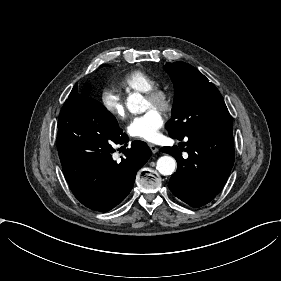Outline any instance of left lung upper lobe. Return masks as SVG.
I'll return each instance as SVG.
<instances>
[{
  "instance_id": "obj_1",
  "label": "left lung upper lobe",
  "mask_w": 281,
  "mask_h": 281,
  "mask_svg": "<svg viewBox=\"0 0 281 281\" xmlns=\"http://www.w3.org/2000/svg\"><path fill=\"white\" fill-rule=\"evenodd\" d=\"M174 84L169 135L183 137L191 132L232 128L231 116L215 85L196 68L185 62L164 66Z\"/></svg>"
}]
</instances>
